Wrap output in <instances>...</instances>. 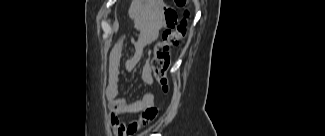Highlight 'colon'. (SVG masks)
<instances>
[{
	"instance_id": "5ec220e1",
	"label": "colon",
	"mask_w": 325,
	"mask_h": 136,
	"mask_svg": "<svg viewBox=\"0 0 325 136\" xmlns=\"http://www.w3.org/2000/svg\"><path fill=\"white\" fill-rule=\"evenodd\" d=\"M174 1L178 7L186 4V0ZM164 15L166 28L161 39L154 46L151 68L155 79L163 91L167 92L169 90L170 50L183 43L187 33V21L186 19L180 20L177 12L172 8L166 9ZM185 15L187 16V12Z\"/></svg>"
}]
</instances>
